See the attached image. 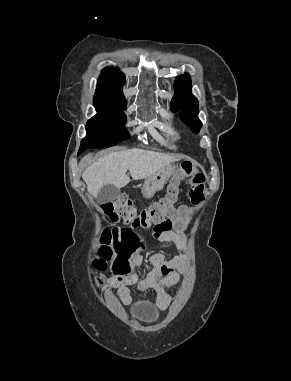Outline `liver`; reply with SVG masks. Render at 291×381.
Returning a JSON list of instances; mask_svg holds the SVG:
<instances>
[{
    "label": "liver",
    "mask_w": 291,
    "mask_h": 381,
    "mask_svg": "<svg viewBox=\"0 0 291 381\" xmlns=\"http://www.w3.org/2000/svg\"><path fill=\"white\" fill-rule=\"evenodd\" d=\"M176 157L143 149H129L109 153L87 167L82 174L88 192L97 197L104 185L122 188L130 182L129 170L134 180L146 179L172 162Z\"/></svg>",
    "instance_id": "1"
}]
</instances>
